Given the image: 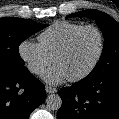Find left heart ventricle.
<instances>
[{
  "instance_id": "b2bd125f",
  "label": "left heart ventricle",
  "mask_w": 119,
  "mask_h": 119,
  "mask_svg": "<svg viewBox=\"0 0 119 119\" xmlns=\"http://www.w3.org/2000/svg\"><path fill=\"white\" fill-rule=\"evenodd\" d=\"M99 50V37L94 30L82 32L74 41L70 50L61 56L56 64L68 78L84 72L95 59Z\"/></svg>"
}]
</instances>
